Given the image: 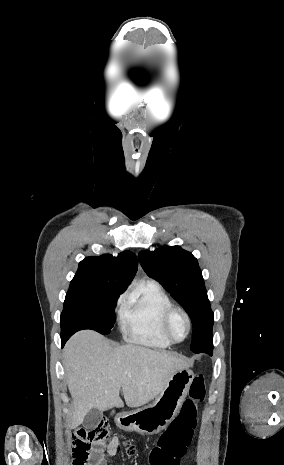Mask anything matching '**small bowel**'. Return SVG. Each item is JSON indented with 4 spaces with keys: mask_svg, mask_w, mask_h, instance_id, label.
<instances>
[{
    "mask_svg": "<svg viewBox=\"0 0 284 465\" xmlns=\"http://www.w3.org/2000/svg\"><path fill=\"white\" fill-rule=\"evenodd\" d=\"M124 445L127 444L124 443ZM118 447L119 438L117 436H113L108 443L96 448L93 454V459L97 463L96 465H103L105 453L112 457L117 453Z\"/></svg>",
    "mask_w": 284,
    "mask_h": 465,
    "instance_id": "small-bowel-1",
    "label": "small bowel"
}]
</instances>
